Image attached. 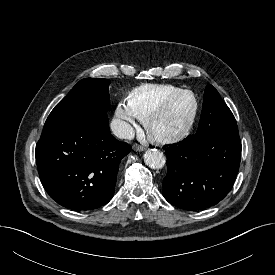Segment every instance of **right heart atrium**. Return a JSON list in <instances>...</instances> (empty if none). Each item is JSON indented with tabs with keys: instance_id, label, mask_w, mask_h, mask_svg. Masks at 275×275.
Wrapping results in <instances>:
<instances>
[{
	"instance_id": "right-heart-atrium-1",
	"label": "right heart atrium",
	"mask_w": 275,
	"mask_h": 275,
	"mask_svg": "<svg viewBox=\"0 0 275 275\" xmlns=\"http://www.w3.org/2000/svg\"><path fill=\"white\" fill-rule=\"evenodd\" d=\"M115 129L117 133L122 136H128L132 129V124L137 118L136 115L131 111L127 103L120 102L115 110Z\"/></svg>"
}]
</instances>
